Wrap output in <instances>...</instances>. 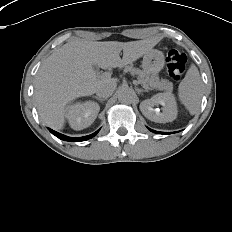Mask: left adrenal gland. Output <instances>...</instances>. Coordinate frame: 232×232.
Instances as JSON below:
<instances>
[{
    "mask_svg": "<svg viewBox=\"0 0 232 232\" xmlns=\"http://www.w3.org/2000/svg\"><path fill=\"white\" fill-rule=\"evenodd\" d=\"M148 90L147 89H145V90H141V92H147Z\"/></svg>",
    "mask_w": 232,
    "mask_h": 232,
    "instance_id": "left-adrenal-gland-1",
    "label": "left adrenal gland"
}]
</instances>
